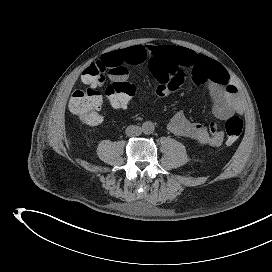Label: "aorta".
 Here are the masks:
<instances>
[{"mask_svg":"<svg viewBox=\"0 0 272 272\" xmlns=\"http://www.w3.org/2000/svg\"><path fill=\"white\" fill-rule=\"evenodd\" d=\"M155 126L151 121H146L142 124V132L144 134H151L154 132Z\"/></svg>","mask_w":272,"mask_h":272,"instance_id":"obj_1","label":"aorta"}]
</instances>
